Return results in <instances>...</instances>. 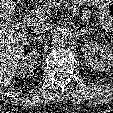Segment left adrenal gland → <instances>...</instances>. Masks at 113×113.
<instances>
[{"instance_id":"1","label":"left adrenal gland","mask_w":113,"mask_h":113,"mask_svg":"<svg viewBox=\"0 0 113 113\" xmlns=\"http://www.w3.org/2000/svg\"><path fill=\"white\" fill-rule=\"evenodd\" d=\"M84 32H85V30H84V29H82V30H80V31L77 33V35H83V34H84Z\"/></svg>"}]
</instances>
